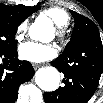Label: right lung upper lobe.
Listing matches in <instances>:
<instances>
[{
    "mask_svg": "<svg viewBox=\"0 0 103 103\" xmlns=\"http://www.w3.org/2000/svg\"><path fill=\"white\" fill-rule=\"evenodd\" d=\"M0 7L13 15L20 16V17L21 16L28 17L32 13L36 12L35 11L36 6H25V5L7 6L1 4Z\"/></svg>",
    "mask_w": 103,
    "mask_h": 103,
    "instance_id": "right-lung-upper-lobe-1",
    "label": "right lung upper lobe"
}]
</instances>
